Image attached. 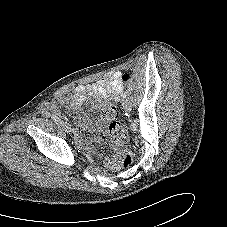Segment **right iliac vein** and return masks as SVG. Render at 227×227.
I'll use <instances>...</instances> for the list:
<instances>
[{"instance_id": "right-iliac-vein-1", "label": "right iliac vein", "mask_w": 227, "mask_h": 227, "mask_svg": "<svg viewBox=\"0 0 227 227\" xmlns=\"http://www.w3.org/2000/svg\"><path fill=\"white\" fill-rule=\"evenodd\" d=\"M60 124L65 129L66 132H71L72 131L69 123H67L66 121H61L60 120Z\"/></svg>"}]
</instances>
